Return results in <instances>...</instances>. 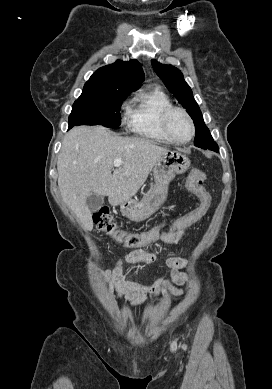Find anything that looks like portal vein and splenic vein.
Wrapping results in <instances>:
<instances>
[{
  "label": "portal vein and splenic vein",
  "mask_w": 272,
  "mask_h": 389,
  "mask_svg": "<svg viewBox=\"0 0 272 389\" xmlns=\"http://www.w3.org/2000/svg\"><path fill=\"white\" fill-rule=\"evenodd\" d=\"M121 164H122V160L121 159L114 160V167H120Z\"/></svg>",
  "instance_id": "1"
}]
</instances>
